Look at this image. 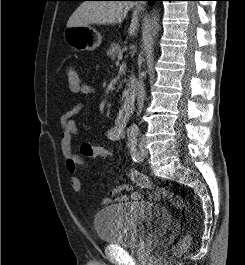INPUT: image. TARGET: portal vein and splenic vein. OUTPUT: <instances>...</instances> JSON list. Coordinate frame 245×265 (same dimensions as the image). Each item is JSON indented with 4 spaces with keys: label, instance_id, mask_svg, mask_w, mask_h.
I'll use <instances>...</instances> for the list:
<instances>
[{
    "label": "portal vein and splenic vein",
    "instance_id": "portal-vein-and-splenic-vein-1",
    "mask_svg": "<svg viewBox=\"0 0 245 265\" xmlns=\"http://www.w3.org/2000/svg\"><path fill=\"white\" fill-rule=\"evenodd\" d=\"M122 58H123V54L122 53H119V55H118V61L122 60Z\"/></svg>",
    "mask_w": 245,
    "mask_h": 265
}]
</instances>
